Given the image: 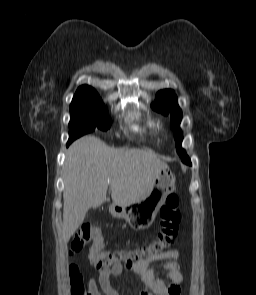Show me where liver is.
Returning a JSON list of instances; mask_svg holds the SVG:
<instances>
[{
  "instance_id": "6515ba94",
  "label": "liver",
  "mask_w": 256,
  "mask_h": 295,
  "mask_svg": "<svg viewBox=\"0 0 256 295\" xmlns=\"http://www.w3.org/2000/svg\"><path fill=\"white\" fill-rule=\"evenodd\" d=\"M165 166L149 151L112 148L90 135L76 140L63 167V242L70 240L90 208L106 201L109 186L115 204H131L145 195Z\"/></svg>"
}]
</instances>
